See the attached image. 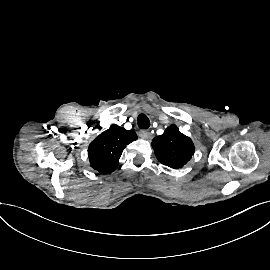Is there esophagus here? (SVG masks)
Returning <instances> with one entry per match:
<instances>
[{
  "label": "esophagus",
  "instance_id": "esophagus-1",
  "mask_svg": "<svg viewBox=\"0 0 270 270\" xmlns=\"http://www.w3.org/2000/svg\"><path fill=\"white\" fill-rule=\"evenodd\" d=\"M139 136H140L142 139H150V138H151V133H150L149 130L144 129V130H141V131L139 132Z\"/></svg>",
  "mask_w": 270,
  "mask_h": 270
}]
</instances>
